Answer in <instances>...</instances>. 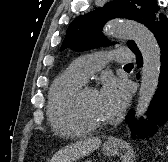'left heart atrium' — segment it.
Segmentation results:
<instances>
[{
    "mask_svg": "<svg viewBox=\"0 0 168 162\" xmlns=\"http://www.w3.org/2000/svg\"><path fill=\"white\" fill-rule=\"evenodd\" d=\"M97 96L104 119L111 120L124 110L129 93L124 82L109 76L104 78Z\"/></svg>",
    "mask_w": 168,
    "mask_h": 162,
    "instance_id": "left-heart-atrium-1",
    "label": "left heart atrium"
}]
</instances>
